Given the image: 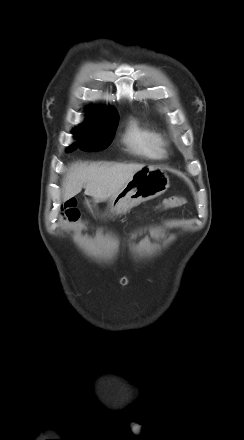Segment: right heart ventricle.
<instances>
[{
    "label": "right heart ventricle",
    "instance_id": "right-heart-ventricle-1",
    "mask_svg": "<svg viewBox=\"0 0 244 440\" xmlns=\"http://www.w3.org/2000/svg\"><path fill=\"white\" fill-rule=\"evenodd\" d=\"M158 135L142 125L138 120L131 119L127 123L122 141L126 148L137 155L159 158L163 150L157 143Z\"/></svg>",
    "mask_w": 244,
    "mask_h": 440
}]
</instances>
